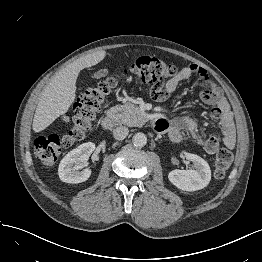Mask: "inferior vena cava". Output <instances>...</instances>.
<instances>
[{
  "label": "inferior vena cava",
  "mask_w": 262,
  "mask_h": 262,
  "mask_svg": "<svg viewBox=\"0 0 262 262\" xmlns=\"http://www.w3.org/2000/svg\"><path fill=\"white\" fill-rule=\"evenodd\" d=\"M129 130L127 127L125 126H120L117 127L116 129H114L113 131V136L115 139L117 140H123L126 138V136L128 135Z\"/></svg>",
  "instance_id": "inferior-vena-cava-1"
}]
</instances>
